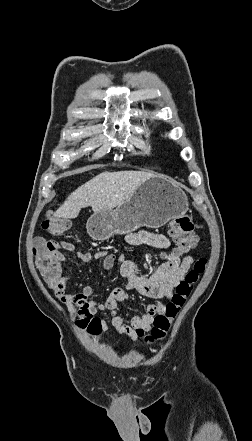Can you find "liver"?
Instances as JSON below:
<instances>
[{"label": "liver", "mask_w": 252, "mask_h": 441, "mask_svg": "<svg viewBox=\"0 0 252 441\" xmlns=\"http://www.w3.org/2000/svg\"><path fill=\"white\" fill-rule=\"evenodd\" d=\"M155 176L144 171L102 172L72 192L54 216L76 218L82 208L94 212L113 210L132 196L147 179Z\"/></svg>", "instance_id": "liver-1"}]
</instances>
